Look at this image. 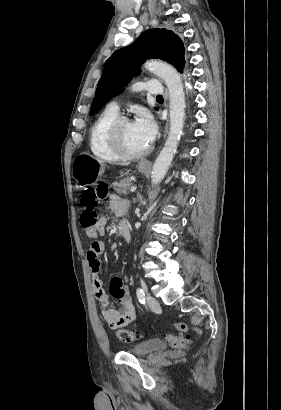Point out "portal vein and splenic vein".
Masks as SVG:
<instances>
[{"mask_svg": "<svg viewBox=\"0 0 281 410\" xmlns=\"http://www.w3.org/2000/svg\"><path fill=\"white\" fill-rule=\"evenodd\" d=\"M136 191V186H132L131 188H130V192H135Z\"/></svg>", "mask_w": 281, "mask_h": 410, "instance_id": "obj_1", "label": "portal vein and splenic vein"}]
</instances>
